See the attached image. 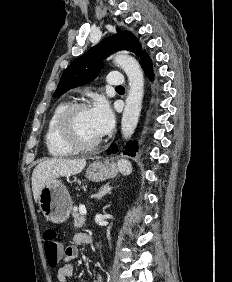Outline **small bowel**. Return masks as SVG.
Instances as JSON below:
<instances>
[{
  "label": "small bowel",
  "instance_id": "obj_1",
  "mask_svg": "<svg viewBox=\"0 0 232 282\" xmlns=\"http://www.w3.org/2000/svg\"><path fill=\"white\" fill-rule=\"evenodd\" d=\"M89 236L84 233H77L73 237V246L66 248L68 254L65 256L66 263L57 270L58 282H68V278L73 275L74 268L71 260L75 259L78 255V246L88 243ZM94 282H103L99 273L96 274Z\"/></svg>",
  "mask_w": 232,
  "mask_h": 282
}]
</instances>
